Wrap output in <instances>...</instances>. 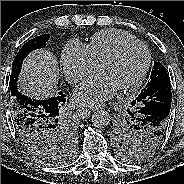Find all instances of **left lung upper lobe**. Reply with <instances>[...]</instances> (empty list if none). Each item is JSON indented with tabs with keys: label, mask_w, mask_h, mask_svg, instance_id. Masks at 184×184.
<instances>
[{
	"label": "left lung upper lobe",
	"mask_w": 184,
	"mask_h": 184,
	"mask_svg": "<svg viewBox=\"0 0 184 184\" xmlns=\"http://www.w3.org/2000/svg\"><path fill=\"white\" fill-rule=\"evenodd\" d=\"M160 81H170V78L166 68L160 62H154L150 79L143 90ZM132 113L131 105L130 110L120 116L112 128L117 152L121 158L127 161H136L150 156L165 137L164 134V136L158 138L152 128L141 124L133 117Z\"/></svg>",
	"instance_id": "5c2ea615"
}]
</instances>
